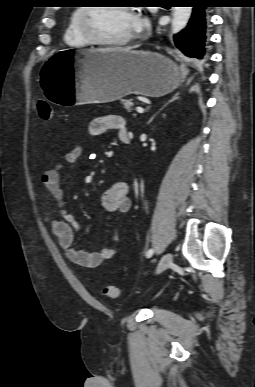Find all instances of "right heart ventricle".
<instances>
[{
	"instance_id": "e07e8e85",
	"label": "right heart ventricle",
	"mask_w": 255,
	"mask_h": 387,
	"mask_svg": "<svg viewBox=\"0 0 255 387\" xmlns=\"http://www.w3.org/2000/svg\"><path fill=\"white\" fill-rule=\"evenodd\" d=\"M82 7L78 6L73 9L69 16L67 26L64 31V41L71 47H86L91 43L82 35L78 26V17Z\"/></svg>"
}]
</instances>
